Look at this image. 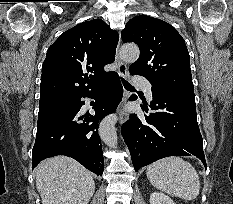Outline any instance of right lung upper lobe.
<instances>
[{"mask_svg":"<svg viewBox=\"0 0 233 204\" xmlns=\"http://www.w3.org/2000/svg\"><path fill=\"white\" fill-rule=\"evenodd\" d=\"M118 38L101 19L65 31L47 50L40 103L74 98L99 87L115 73L103 67L114 61Z\"/></svg>","mask_w":233,"mask_h":204,"instance_id":"obj_1","label":"right lung upper lobe"}]
</instances>
